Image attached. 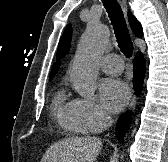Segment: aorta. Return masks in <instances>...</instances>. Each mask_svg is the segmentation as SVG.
Here are the masks:
<instances>
[{
    "label": "aorta",
    "instance_id": "1",
    "mask_svg": "<svg viewBox=\"0 0 168 162\" xmlns=\"http://www.w3.org/2000/svg\"><path fill=\"white\" fill-rule=\"evenodd\" d=\"M108 28L99 22H89L80 40L70 71L77 93L91 97L97 89L98 61L109 42Z\"/></svg>",
    "mask_w": 168,
    "mask_h": 162
}]
</instances>
